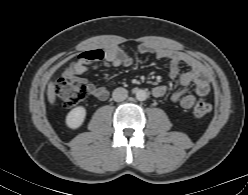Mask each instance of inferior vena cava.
<instances>
[{
    "instance_id": "602c4592",
    "label": "inferior vena cava",
    "mask_w": 248,
    "mask_h": 195,
    "mask_svg": "<svg viewBox=\"0 0 248 195\" xmlns=\"http://www.w3.org/2000/svg\"><path fill=\"white\" fill-rule=\"evenodd\" d=\"M112 97L116 102L124 101L128 97V91L122 87L116 88L113 91Z\"/></svg>"
}]
</instances>
